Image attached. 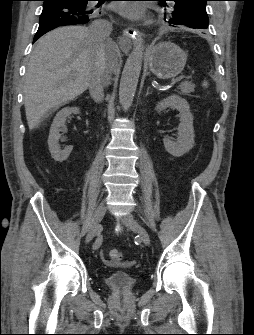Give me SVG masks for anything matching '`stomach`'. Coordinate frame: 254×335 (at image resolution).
<instances>
[{
	"mask_svg": "<svg viewBox=\"0 0 254 335\" xmlns=\"http://www.w3.org/2000/svg\"><path fill=\"white\" fill-rule=\"evenodd\" d=\"M147 57L150 71L160 79H169L180 74L187 60V54L170 41L153 46Z\"/></svg>",
	"mask_w": 254,
	"mask_h": 335,
	"instance_id": "1",
	"label": "stomach"
}]
</instances>
